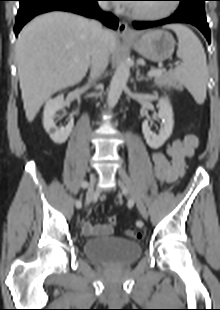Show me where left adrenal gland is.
<instances>
[{
    "label": "left adrenal gland",
    "instance_id": "left-adrenal-gland-1",
    "mask_svg": "<svg viewBox=\"0 0 220 310\" xmlns=\"http://www.w3.org/2000/svg\"><path fill=\"white\" fill-rule=\"evenodd\" d=\"M136 80L137 81H143V80L148 81L147 78H145L144 76L140 75V70L139 69H137V72H136Z\"/></svg>",
    "mask_w": 220,
    "mask_h": 310
}]
</instances>
